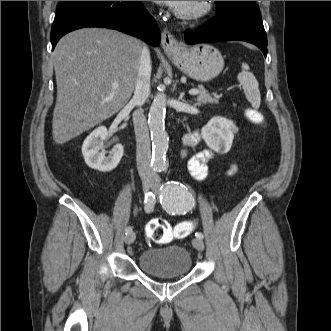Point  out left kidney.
I'll list each match as a JSON object with an SVG mask.
<instances>
[{
  "label": "left kidney",
  "instance_id": "left-kidney-1",
  "mask_svg": "<svg viewBox=\"0 0 331 331\" xmlns=\"http://www.w3.org/2000/svg\"><path fill=\"white\" fill-rule=\"evenodd\" d=\"M235 124L223 117H213L201 131L202 138L209 148L220 153H227L232 146Z\"/></svg>",
  "mask_w": 331,
  "mask_h": 331
}]
</instances>
